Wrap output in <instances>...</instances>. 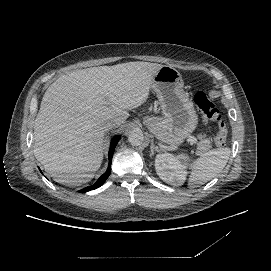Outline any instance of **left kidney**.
Wrapping results in <instances>:
<instances>
[{
  "mask_svg": "<svg viewBox=\"0 0 271 271\" xmlns=\"http://www.w3.org/2000/svg\"><path fill=\"white\" fill-rule=\"evenodd\" d=\"M157 174L167 184L181 185L184 172L173 157L168 154L158 155L155 161Z\"/></svg>",
  "mask_w": 271,
  "mask_h": 271,
  "instance_id": "obj_1",
  "label": "left kidney"
}]
</instances>
